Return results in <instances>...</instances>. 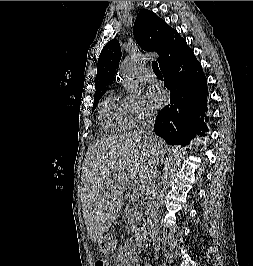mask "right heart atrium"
<instances>
[{"label": "right heart atrium", "instance_id": "obj_1", "mask_svg": "<svg viewBox=\"0 0 253 266\" xmlns=\"http://www.w3.org/2000/svg\"><path fill=\"white\" fill-rule=\"evenodd\" d=\"M121 105L131 125L138 126L149 121L154 115L152 107L141 94L127 95Z\"/></svg>", "mask_w": 253, "mask_h": 266}]
</instances>
